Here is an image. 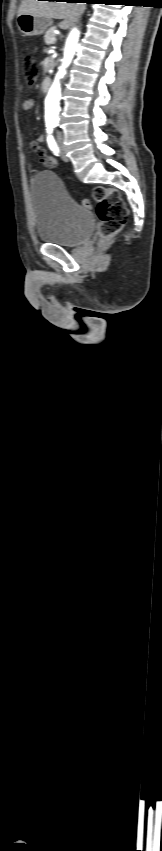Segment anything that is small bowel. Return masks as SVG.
<instances>
[{"label":"small bowel","instance_id":"obj_1","mask_svg":"<svg viewBox=\"0 0 162 851\" xmlns=\"http://www.w3.org/2000/svg\"><path fill=\"white\" fill-rule=\"evenodd\" d=\"M21 106H22L23 111L27 112V111H29V110H31V109L33 108V106H34V101H33L32 99H30V98H27V99H25V100H23V101H22ZM44 141H45V137H44L43 135H40V136L38 137L37 141L32 142V143L30 144V148H31V150L33 151V153L37 155V157L39 158V160H40V161H41V162H42V163H43L46 167H48V168H55V167H56V165H57V160H56L54 157H52V156H48V155L46 154L45 149H44V148L42 147V145H41Z\"/></svg>","mask_w":162,"mask_h":851}]
</instances>
